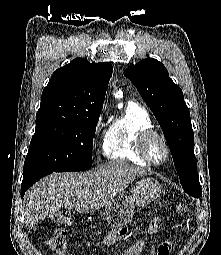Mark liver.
I'll list each match as a JSON object with an SVG mask.
<instances>
[{
	"label": "liver",
	"instance_id": "liver-1",
	"mask_svg": "<svg viewBox=\"0 0 221 255\" xmlns=\"http://www.w3.org/2000/svg\"><path fill=\"white\" fill-rule=\"evenodd\" d=\"M147 170L122 161L88 172L54 173L32 186L23 198L22 213L30 230L60 209L91 213L106 206Z\"/></svg>",
	"mask_w": 221,
	"mask_h": 255
}]
</instances>
